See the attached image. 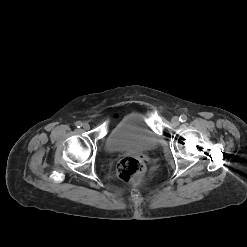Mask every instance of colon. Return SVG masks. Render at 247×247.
Returning <instances> with one entry per match:
<instances>
[{
    "instance_id": "obj_1",
    "label": "colon",
    "mask_w": 247,
    "mask_h": 247,
    "mask_svg": "<svg viewBox=\"0 0 247 247\" xmlns=\"http://www.w3.org/2000/svg\"><path fill=\"white\" fill-rule=\"evenodd\" d=\"M117 174L123 181L139 180L144 174V163L136 156H127L117 165Z\"/></svg>"
}]
</instances>
